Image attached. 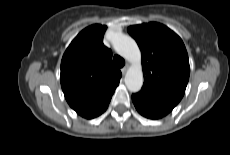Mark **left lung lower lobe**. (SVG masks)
Returning a JSON list of instances; mask_svg holds the SVG:
<instances>
[{
	"mask_svg": "<svg viewBox=\"0 0 230 155\" xmlns=\"http://www.w3.org/2000/svg\"><path fill=\"white\" fill-rule=\"evenodd\" d=\"M137 111L146 118L159 119L170 113L175 106L145 92L132 95Z\"/></svg>",
	"mask_w": 230,
	"mask_h": 155,
	"instance_id": "obj_1",
	"label": "left lung lower lobe"
}]
</instances>
